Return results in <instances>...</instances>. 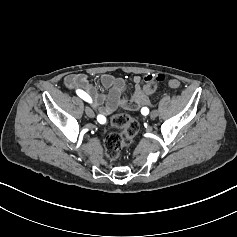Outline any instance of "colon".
Masks as SVG:
<instances>
[{"mask_svg":"<svg viewBox=\"0 0 237 237\" xmlns=\"http://www.w3.org/2000/svg\"><path fill=\"white\" fill-rule=\"evenodd\" d=\"M164 81L165 77L162 74L148 80L143 86L144 94L154 93L158 84ZM111 124L122 129L121 133L108 134L104 140L105 155L110 161L115 162L120 158L122 148L133 143L139 131V123L126 114H115L111 119Z\"/></svg>","mask_w":237,"mask_h":237,"instance_id":"colon-1","label":"colon"}]
</instances>
